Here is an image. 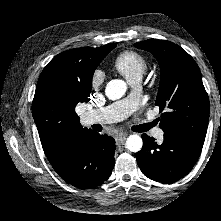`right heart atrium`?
<instances>
[{
	"mask_svg": "<svg viewBox=\"0 0 221 221\" xmlns=\"http://www.w3.org/2000/svg\"><path fill=\"white\" fill-rule=\"evenodd\" d=\"M105 78H106L105 73L102 70L100 69L94 70L90 76L91 87L94 89L99 88L104 84Z\"/></svg>",
	"mask_w": 221,
	"mask_h": 221,
	"instance_id": "d8ad5b80",
	"label": "right heart atrium"
}]
</instances>
